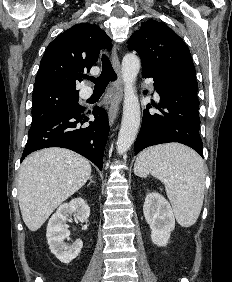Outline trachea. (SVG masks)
Wrapping results in <instances>:
<instances>
[{"instance_id": "obj_1", "label": "trachea", "mask_w": 232, "mask_h": 282, "mask_svg": "<svg viewBox=\"0 0 232 282\" xmlns=\"http://www.w3.org/2000/svg\"><path fill=\"white\" fill-rule=\"evenodd\" d=\"M117 78L111 62L106 55L102 56V71L99 77H91L85 76V79L90 80L93 82L94 85V92H104L105 88L107 87L109 81H115Z\"/></svg>"}]
</instances>
